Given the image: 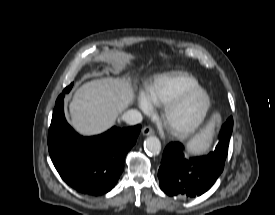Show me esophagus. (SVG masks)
Returning <instances> with one entry per match:
<instances>
[{
	"label": "esophagus",
	"instance_id": "esophagus-1",
	"mask_svg": "<svg viewBox=\"0 0 275 215\" xmlns=\"http://www.w3.org/2000/svg\"><path fill=\"white\" fill-rule=\"evenodd\" d=\"M142 134L144 136H149V135H153L154 134V130L150 127V126H145L142 129Z\"/></svg>",
	"mask_w": 275,
	"mask_h": 215
}]
</instances>
